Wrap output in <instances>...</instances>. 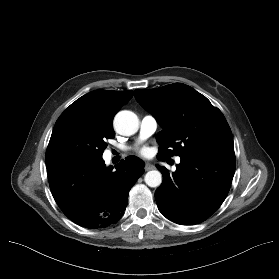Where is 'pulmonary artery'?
I'll return each instance as SVG.
<instances>
[{
  "label": "pulmonary artery",
  "instance_id": "1",
  "mask_svg": "<svg viewBox=\"0 0 279 279\" xmlns=\"http://www.w3.org/2000/svg\"><path fill=\"white\" fill-rule=\"evenodd\" d=\"M158 122L155 117L152 115H146L141 119L140 122V138L145 139L149 136H151L157 129ZM180 159L177 158V162H179Z\"/></svg>",
  "mask_w": 279,
  "mask_h": 279
}]
</instances>
